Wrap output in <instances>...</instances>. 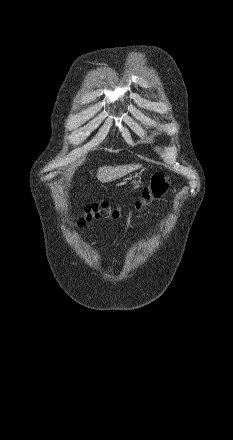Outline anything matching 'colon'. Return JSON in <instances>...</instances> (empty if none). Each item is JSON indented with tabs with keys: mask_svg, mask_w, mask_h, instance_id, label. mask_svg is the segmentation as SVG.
Masks as SVG:
<instances>
[{
	"mask_svg": "<svg viewBox=\"0 0 233 440\" xmlns=\"http://www.w3.org/2000/svg\"><path fill=\"white\" fill-rule=\"evenodd\" d=\"M173 185L172 180L162 172L153 174L150 186L142 191L141 199L134 205L136 211H141L146 205L151 203L154 199H158ZM110 214L113 218H118L120 212L117 207L111 208L108 202L87 204L81 210V216L78 219V224L83 225L93 219L100 218L101 215Z\"/></svg>",
	"mask_w": 233,
	"mask_h": 440,
	"instance_id": "5ec220e1",
	"label": "colon"
}]
</instances>
